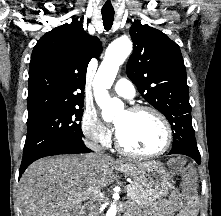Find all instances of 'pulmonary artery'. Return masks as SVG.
<instances>
[{"label": "pulmonary artery", "mask_w": 221, "mask_h": 216, "mask_svg": "<svg viewBox=\"0 0 221 216\" xmlns=\"http://www.w3.org/2000/svg\"><path fill=\"white\" fill-rule=\"evenodd\" d=\"M114 91L121 97L133 99L135 96V88L130 80L126 78L119 79L114 85Z\"/></svg>", "instance_id": "e3ab8cb5"}]
</instances>
